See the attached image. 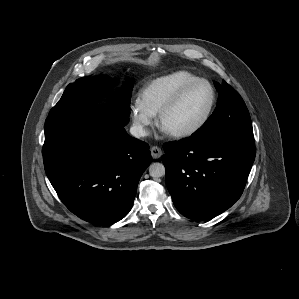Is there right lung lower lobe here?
<instances>
[{
    "instance_id": "right-lung-lower-lobe-1",
    "label": "right lung lower lobe",
    "mask_w": 299,
    "mask_h": 299,
    "mask_svg": "<svg viewBox=\"0 0 299 299\" xmlns=\"http://www.w3.org/2000/svg\"><path fill=\"white\" fill-rule=\"evenodd\" d=\"M128 122L111 103L46 119L45 172L60 200L85 221L111 225L132 207L151 154L126 133Z\"/></svg>"
}]
</instances>
